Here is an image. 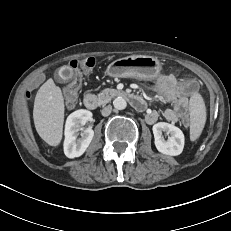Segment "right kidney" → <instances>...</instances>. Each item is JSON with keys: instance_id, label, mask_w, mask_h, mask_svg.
I'll list each match as a JSON object with an SVG mask.
<instances>
[{"instance_id": "ca27d5eb", "label": "right kidney", "mask_w": 231, "mask_h": 231, "mask_svg": "<svg viewBox=\"0 0 231 231\" xmlns=\"http://www.w3.org/2000/svg\"><path fill=\"white\" fill-rule=\"evenodd\" d=\"M92 117L88 110L80 109L71 113L65 124L64 153L68 158L80 157L90 145L94 131L90 128L85 129L79 138V131Z\"/></svg>"}]
</instances>
